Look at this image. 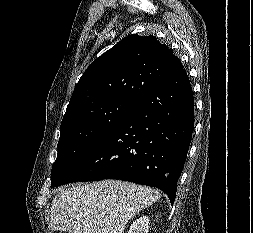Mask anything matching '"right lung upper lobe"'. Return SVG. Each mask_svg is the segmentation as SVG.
<instances>
[{"label": "right lung upper lobe", "mask_w": 253, "mask_h": 233, "mask_svg": "<svg viewBox=\"0 0 253 233\" xmlns=\"http://www.w3.org/2000/svg\"><path fill=\"white\" fill-rule=\"evenodd\" d=\"M181 69L179 58L155 36H127L89 65L76 84L65 115L110 98L136 100Z\"/></svg>", "instance_id": "1"}]
</instances>
